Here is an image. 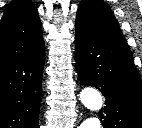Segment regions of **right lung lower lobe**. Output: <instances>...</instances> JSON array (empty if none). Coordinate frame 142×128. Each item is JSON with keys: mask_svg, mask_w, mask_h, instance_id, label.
I'll list each match as a JSON object with an SVG mask.
<instances>
[{"mask_svg": "<svg viewBox=\"0 0 142 128\" xmlns=\"http://www.w3.org/2000/svg\"><path fill=\"white\" fill-rule=\"evenodd\" d=\"M44 62L43 41L0 68V128H38Z\"/></svg>", "mask_w": 142, "mask_h": 128, "instance_id": "1", "label": "right lung lower lobe"}]
</instances>
